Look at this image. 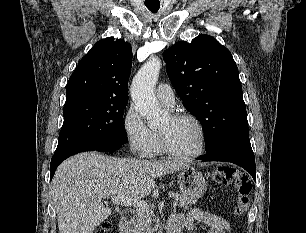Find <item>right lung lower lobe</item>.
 <instances>
[{
	"label": "right lung lower lobe",
	"mask_w": 306,
	"mask_h": 233,
	"mask_svg": "<svg viewBox=\"0 0 306 233\" xmlns=\"http://www.w3.org/2000/svg\"><path fill=\"white\" fill-rule=\"evenodd\" d=\"M123 143H95V142H88V143H81L69 148L64 149L58 153H54L51 159V176L50 180L53 178L54 173L57 169V166L70 157L79 152L84 151H101V152H112L118 150Z\"/></svg>",
	"instance_id": "right-lung-lower-lobe-1"
}]
</instances>
